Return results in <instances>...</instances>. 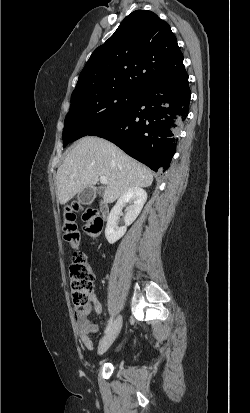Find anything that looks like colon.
<instances>
[{"label": "colon", "mask_w": 250, "mask_h": 413, "mask_svg": "<svg viewBox=\"0 0 250 413\" xmlns=\"http://www.w3.org/2000/svg\"><path fill=\"white\" fill-rule=\"evenodd\" d=\"M81 207L73 202L64 209L63 232L69 245L77 250L81 240V232L76 223V212ZM84 227L83 232L89 239H97L103 229V221L96 210L82 208ZM94 275L86 261L85 256L76 251L70 265V287L74 305L78 308L87 307L91 302Z\"/></svg>", "instance_id": "obj_1"}]
</instances>
